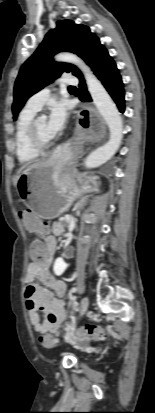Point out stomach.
I'll return each instance as SVG.
<instances>
[{"label":"stomach","mask_w":155,"mask_h":413,"mask_svg":"<svg viewBox=\"0 0 155 413\" xmlns=\"http://www.w3.org/2000/svg\"><path fill=\"white\" fill-rule=\"evenodd\" d=\"M75 176L74 170L64 169L53 158H48L23 168L17 181V193L37 216L53 219L67 211L82 194L98 190L94 177H86L78 186Z\"/></svg>","instance_id":"1"}]
</instances>
